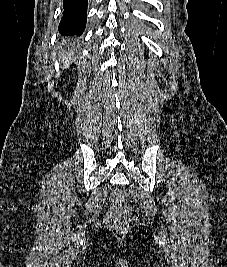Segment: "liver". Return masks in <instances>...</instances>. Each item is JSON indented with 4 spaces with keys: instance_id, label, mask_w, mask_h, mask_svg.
<instances>
[{
    "instance_id": "6515ba94",
    "label": "liver",
    "mask_w": 227,
    "mask_h": 267,
    "mask_svg": "<svg viewBox=\"0 0 227 267\" xmlns=\"http://www.w3.org/2000/svg\"><path fill=\"white\" fill-rule=\"evenodd\" d=\"M68 60V57H65V61H67Z\"/></svg>"
}]
</instances>
